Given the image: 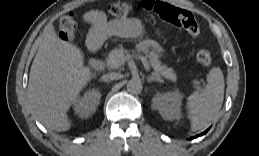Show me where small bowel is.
<instances>
[{"instance_id":"1","label":"small bowel","mask_w":259,"mask_h":156,"mask_svg":"<svg viewBox=\"0 0 259 156\" xmlns=\"http://www.w3.org/2000/svg\"><path fill=\"white\" fill-rule=\"evenodd\" d=\"M84 20L91 25V46L99 44L106 37H137L144 32V25L139 19L108 20L99 10L87 12Z\"/></svg>"}]
</instances>
